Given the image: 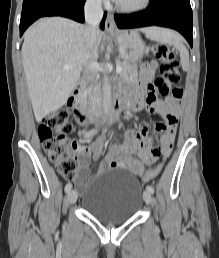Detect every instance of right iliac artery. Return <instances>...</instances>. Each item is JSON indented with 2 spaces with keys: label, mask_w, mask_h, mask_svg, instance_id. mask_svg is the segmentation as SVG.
<instances>
[{
  "label": "right iliac artery",
  "mask_w": 219,
  "mask_h": 258,
  "mask_svg": "<svg viewBox=\"0 0 219 258\" xmlns=\"http://www.w3.org/2000/svg\"><path fill=\"white\" fill-rule=\"evenodd\" d=\"M93 134H94V131H90V132H88V133L86 134V137H89V136H91V135H93ZM71 188H72V184H71V183H67V184L65 185V192L68 193V192L71 190Z\"/></svg>",
  "instance_id": "1"
}]
</instances>
